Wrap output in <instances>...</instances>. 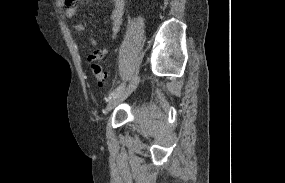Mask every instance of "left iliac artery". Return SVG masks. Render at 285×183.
<instances>
[{"mask_svg": "<svg viewBox=\"0 0 285 183\" xmlns=\"http://www.w3.org/2000/svg\"><path fill=\"white\" fill-rule=\"evenodd\" d=\"M124 84H120L119 86H117L115 89H113L109 95V98L113 97L114 95H116L119 91H121V89H123Z\"/></svg>", "mask_w": 285, "mask_h": 183, "instance_id": "left-iliac-artery-1", "label": "left iliac artery"}]
</instances>
